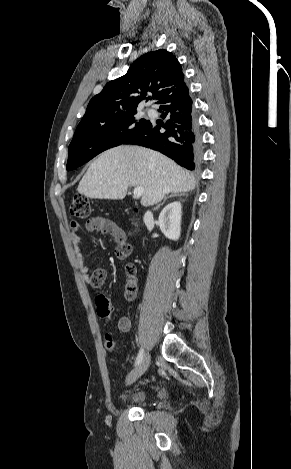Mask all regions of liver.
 Listing matches in <instances>:
<instances>
[{
	"label": "liver",
	"mask_w": 291,
	"mask_h": 469,
	"mask_svg": "<svg viewBox=\"0 0 291 469\" xmlns=\"http://www.w3.org/2000/svg\"><path fill=\"white\" fill-rule=\"evenodd\" d=\"M130 186L143 187L141 204L150 206L170 192L193 190L195 179L159 152L139 146H118L92 162L77 190L88 198L121 200Z\"/></svg>",
	"instance_id": "1"
}]
</instances>
